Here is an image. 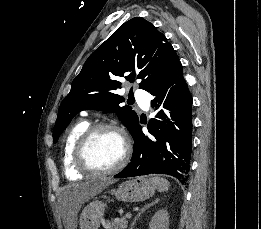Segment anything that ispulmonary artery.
Returning a JSON list of instances; mask_svg holds the SVG:
<instances>
[{"label": "pulmonary artery", "instance_id": "pulmonary-artery-1", "mask_svg": "<svg viewBox=\"0 0 261 229\" xmlns=\"http://www.w3.org/2000/svg\"><path fill=\"white\" fill-rule=\"evenodd\" d=\"M137 100L138 108L140 109V112H144V114H147L149 112V104H150V91H146V89H137L135 92Z\"/></svg>", "mask_w": 261, "mask_h": 229}]
</instances>
